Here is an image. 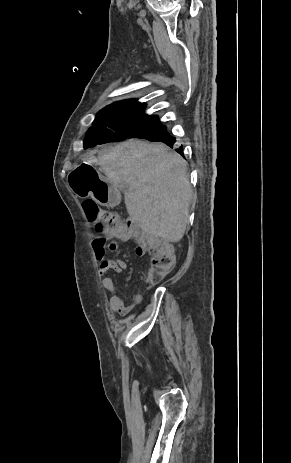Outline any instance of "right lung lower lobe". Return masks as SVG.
<instances>
[{
    "label": "right lung lower lobe",
    "instance_id": "right-lung-lower-lobe-1",
    "mask_svg": "<svg viewBox=\"0 0 291 463\" xmlns=\"http://www.w3.org/2000/svg\"><path fill=\"white\" fill-rule=\"evenodd\" d=\"M147 140L149 141H153V142H163L165 144H167L169 147L173 148L176 140L173 136H171L167 130H164L163 132H160L152 137H149L147 138ZM176 151L183 156V148L182 147H179L178 149H176Z\"/></svg>",
    "mask_w": 291,
    "mask_h": 463
}]
</instances>
